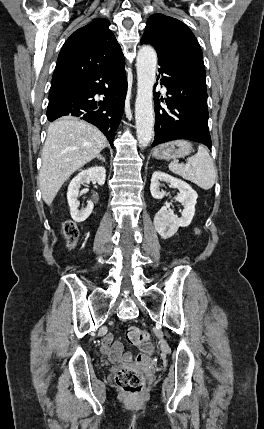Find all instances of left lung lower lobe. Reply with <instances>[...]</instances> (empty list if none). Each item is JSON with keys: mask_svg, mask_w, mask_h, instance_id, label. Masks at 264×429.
<instances>
[{"mask_svg": "<svg viewBox=\"0 0 264 429\" xmlns=\"http://www.w3.org/2000/svg\"><path fill=\"white\" fill-rule=\"evenodd\" d=\"M141 44H150L141 39ZM151 45V44H150ZM161 84L167 88V107L159 105V94L154 93L155 139L152 146L176 139L203 143L211 149L208 129L206 83L199 80L183 64L157 52Z\"/></svg>", "mask_w": 264, "mask_h": 429, "instance_id": "1", "label": "left lung lower lobe"}]
</instances>
